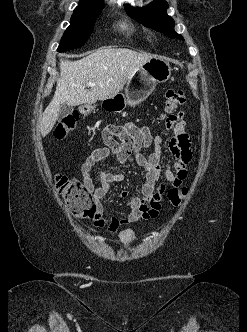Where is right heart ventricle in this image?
<instances>
[{
	"label": "right heart ventricle",
	"instance_id": "obj_1",
	"mask_svg": "<svg viewBox=\"0 0 247 332\" xmlns=\"http://www.w3.org/2000/svg\"><path fill=\"white\" fill-rule=\"evenodd\" d=\"M120 28L122 31H124L127 34H133L135 32L134 26L129 23H122L120 25Z\"/></svg>",
	"mask_w": 247,
	"mask_h": 332
}]
</instances>
